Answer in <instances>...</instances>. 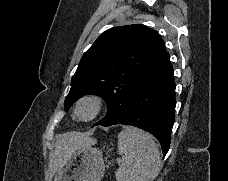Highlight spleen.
I'll use <instances>...</instances> for the list:
<instances>
[{"label": "spleen", "instance_id": "3e777b00", "mask_svg": "<svg viewBox=\"0 0 228 181\" xmlns=\"http://www.w3.org/2000/svg\"><path fill=\"white\" fill-rule=\"evenodd\" d=\"M119 169L116 181H153L159 175V149L152 137L135 127H123L118 135Z\"/></svg>", "mask_w": 228, "mask_h": 181}]
</instances>
